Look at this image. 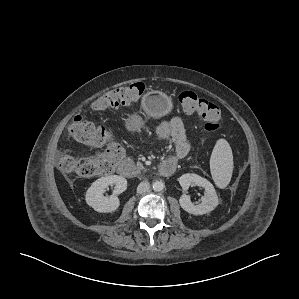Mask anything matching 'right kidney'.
<instances>
[{"label":"right kidney","instance_id":"ca27d5eb","mask_svg":"<svg viewBox=\"0 0 299 299\" xmlns=\"http://www.w3.org/2000/svg\"><path fill=\"white\" fill-rule=\"evenodd\" d=\"M109 185H114L113 195L105 197V189ZM127 189V180L118 175L101 177L94 181L86 191V203L95 211L100 213H111L118 209L120 202L117 197Z\"/></svg>","mask_w":299,"mask_h":299}]
</instances>
